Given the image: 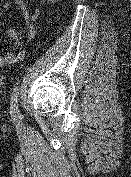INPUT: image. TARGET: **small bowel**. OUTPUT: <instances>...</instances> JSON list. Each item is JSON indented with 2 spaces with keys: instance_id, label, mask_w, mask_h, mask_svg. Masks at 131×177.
<instances>
[{
  "instance_id": "small-bowel-1",
  "label": "small bowel",
  "mask_w": 131,
  "mask_h": 177,
  "mask_svg": "<svg viewBox=\"0 0 131 177\" xmlns=\"http://www.w3.org/2000/svg\"><path fill=\"white\" fill-rule=\"evenodd\" d=\"M14 4L21 10L25 22L28 26L27 35L28 39H32L36 33L35 22L39 16V10L35 9L33 12H30L26 5L25 0H14ZM5 34L7 38L13 43L16 50L5 54H0V66H2L5 63L20 60L23 57V52L18 50V48L22 45V37L20 33L17 31L16 27L12 26L8 28Z\"/></svg>"
}]
</instances>
